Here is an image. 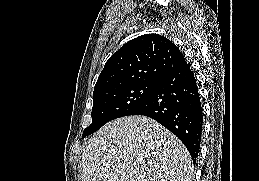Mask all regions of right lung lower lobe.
Listing matches in <instances>:
<instances>
[{"label":"right lung lower lobe","mask_w":259,"mask_h":181,"mask_svg":"<svg viewBox=\"0 0 259 181\" xmlns=\"http://www.w3.org/2000/svg\"><path fill=\"white\" fill-rule=\"evenodd\" d=\"M130 115L155 119L175 134L196 160L203 114L196 79L187 62L160 77L149 99Z\"/></svg>","instance_id":"98d812e1"}]
</instances>
